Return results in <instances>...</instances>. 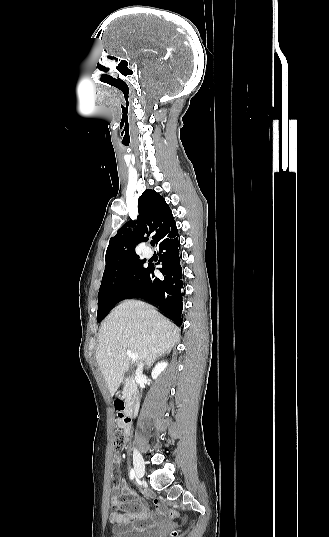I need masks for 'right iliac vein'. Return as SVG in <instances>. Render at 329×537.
Masks as SVG:
<instances>
[{
	"label": "right iliac vein",
	"instance_id": "63e3f726",
	"mask_svg": "<svg viewBox=\"0 0 329 537\" xmlns=\"http://www.w3.org/2000/svg\"><path fill=\"white\" fill-rule=\"evenodd\" d=\"M134 468L137 478H141L145 472V464L143 458L137 452L134 454Z\"/></svg>",
	"mask_w": 329,
	"mask_h": 537
}]
</instances>
